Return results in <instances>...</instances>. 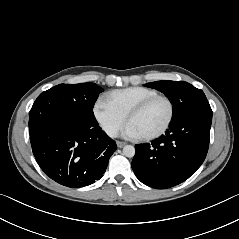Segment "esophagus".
I'll return each mask as SVG.
<instances>
[{
	"label": "esophagus",
	"mask_w": 239,
	"mask_h": 239,
	"mask_svg": "<svg viewBox=\"0 0 239 239\" xmlns=\"http://www.w3.org/2000/svg\"><path fill=\"white\" fill-rule=\"evenodd\" d=\"M116 144H117V147H118V148H122L123 146L126 145V143H125V142H122V141H117Z\"/></svg>",
	"instance_id": "1"
}]
</instances>
